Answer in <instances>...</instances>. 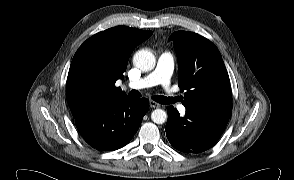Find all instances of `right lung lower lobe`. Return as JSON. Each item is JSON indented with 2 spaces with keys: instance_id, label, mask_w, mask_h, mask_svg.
<instances>
[{
  "instance_id": "obj_1",
  "label": "right lung lower lobe",
  "mask_w": 294,
  "mask_h": 180,
  "mask_svg": "<svg viewBox=\"0 0 294 180\" xmlns=\"http://www.w3.org/2000/svg\"><path fill=\"white\" fill-rule=\"evenodd\" d=\"M149 108L146 98H120L74 116L84 140L101 151L125 146L137 132Z\"/></svg>"
}]
</instances>
